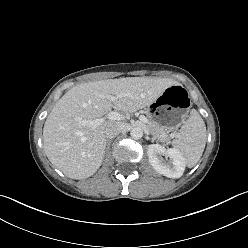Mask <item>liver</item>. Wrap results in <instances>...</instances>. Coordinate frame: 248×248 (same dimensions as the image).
Instances as JSON below:
<instances>
[{"instance_id": "6515ba94", "label": "liver", "mask_w": 248, "mask_h": 248, "mask_svg": "<svg viewBox=\"0 0 248 248\" xmlns=\"http://www.w3.org/2000/svg\"><path fill=\"white\" fill-rule=\"evenodd\" d=\"M176 84L177 81L167 78L126 77L72 87L57 101L45 121L46 156L69 178L92 176L105 155V129L119 122L109 120L92 128L81 125L80 120L101 118L112 108L122 113L135 112L152 104L164 90ZM111 95L118 98L111 101Z\"/></svg>"}]
</instances>
